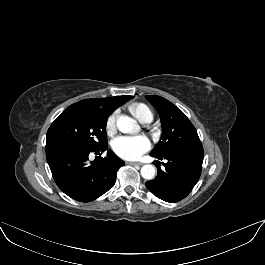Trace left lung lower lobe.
<instances>
[{"instance_id": "1", "label": "left lung lower lobe", "mask_w": 265, "mask_h": 265, "mask_svg": "<svg viewBox=\"0 0 265 265\" xmlns=\"http://www.w3.org/2000/svg\"><path fill=\"white\" fill-rule=\"evenodd\" d=\"M159 160L166 159L162 170L160 161L153 163L158 175L146 182L147 188L158 198L166 202H177L185 198L200 178L204 150L201 142L171 150L165 155L150 154Z\"/></svg>"}]
</instances>
